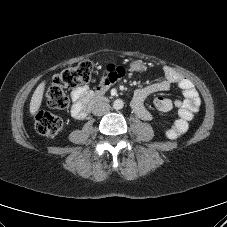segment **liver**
Returning a JSON list of instances; mask_svg holds the SVG:
<instances>
[{"label":"liver","instance_id":"liver-1","mask_svg":"<svg viewBox=\"0 0 227 227\" xmlns=\"http://www.w3.org/2000/svg\"><path fill=\"white\" fill-rule=\"evenodd\" d=\"M45 85H46V81H42L37 86L36 90L34 91V93L32 95L31 102H30L31 115H35L38 112V110L42 104Z\"/></svg>","mask_w":227,"mask_h":227}]
</instances>
